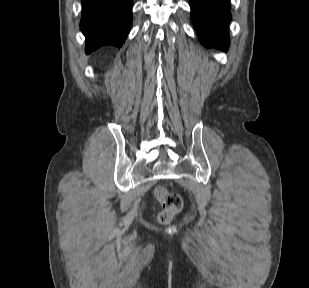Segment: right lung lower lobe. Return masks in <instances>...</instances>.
<instances>
[{
    "instance_id": "right-lung-lower-lobe-1",
    "label": "right lung lower lobe",
    "mask_w": 309,
    "mask_h": 288,
    "mask_svg": "<svg viewBox=\"0 0 309 288\" xmlns=\"http://www.w3.org/2000/svg\"><path fill=\"white\" fill-rule=\"evenodd\" d=\"M80 28L86 37V53L104 45L118 48L131 26L132 0H81Z\"/></svg>"
}]
</instances>
